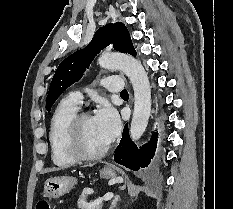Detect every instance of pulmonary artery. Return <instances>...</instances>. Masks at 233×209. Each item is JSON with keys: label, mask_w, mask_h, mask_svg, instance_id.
I'll list each match as a JSON object with an SVG mask.
<instances>
[{"label": "pulmonary artery", "mask_w": 233, "mask_h": 209, "mask_svg": "<svg viewBox=\"0 0 233 209\" xmlns=\"http://www.w3.org/2000/svg\"><path fill=\"white\" fill-rule=\"evenodd\" d=\"M105 88L111 92H122L123 91V82L122 79L118 76H106L103 79ZM83 96L80 92H73L68 100L73 105L78 106L82 102Z\"/></svg>", "instance_id": "e3ab8cb5"}]
</instances>
